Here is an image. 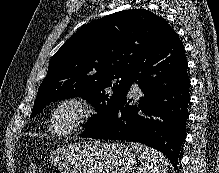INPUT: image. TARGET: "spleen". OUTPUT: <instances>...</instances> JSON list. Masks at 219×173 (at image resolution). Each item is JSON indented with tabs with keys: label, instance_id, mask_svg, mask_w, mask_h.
Returning a JSON list of instances; mask_svg holds the SVG:
<instances>
[{
	"label": "spleen",
	"instance_id": "3e777b00",
	"mask_svg": "<svg viewBox=\"0 0 219 173\" xmlns=\"http://www.w3.org/2000/svg\"><path fill=\"white\" fill-rule=\"evenodd\" d=\"M130 145L142 162L138 173L167 172L169 161L162 153L140 143L131 142Z\"/></svg>",
	"mask_w": 219,
	"mask_h": 173
}]
</instances>
